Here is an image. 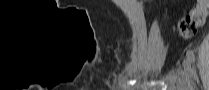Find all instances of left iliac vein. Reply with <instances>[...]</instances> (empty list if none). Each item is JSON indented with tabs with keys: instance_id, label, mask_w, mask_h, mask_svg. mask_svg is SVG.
Wrapping results in <instances>:
<instances>
[{
	"instance_id": "4c4485c4",
	"label": "left iliac vein",
	"mask_w": 209,
	"mask_h": 90,
	"mask_svg": "<svg viewBox=\"0 0 209 90\" xmlns=\"http://www.w3.org/2000/svg\"><path fill=\"white\" fill-rule=\"evenodd\" d=\"M183 65H184L185 70H186L188 73L192 74L190 60H189V59H185Z\"/></svg>"
}]
</instances>
